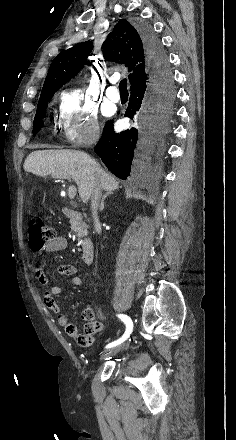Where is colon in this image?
<instances>
[{
  "mask_svg": "<svg viewBox=\"0 0 236 440\" xmlns=\"http://www.w3.org/2000/svg\"><path fill=\"white\" fill-rule=\"evenodd\" d=\"M28 237L31 249H42L48 242L55 238L54 229L47 225L42 217L33 215L28 220Z\"/></svg>",
  "mask_w": 236,
  "mask_h": 440,
  "instance_id": "5ec220e1",
  "label": "colon"
}]
</instances>
